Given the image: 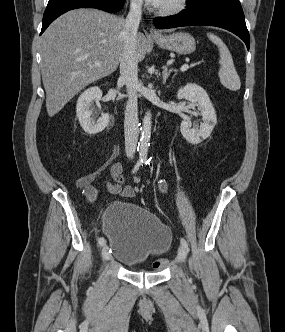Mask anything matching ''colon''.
Returning a JSON list of instances; mask_svg holds the SVG:
<instances>
[{
  "label": "colon",
  "mask_w": 285,
  "mask_h": 332,
  "mask_svg": "<svg viewBox=\"0 0 285 332\" xmlns=\"http://www.w3.org/2000/svg\"><path fill=\"white\" fill-rule=\"evenodd\" d=\"M168 263V260L163 258V259H159L156 262H154V266L155 267H161L163 265H166Z\"/></svg>",
  "instance_id": "1"
}]
</instances>
